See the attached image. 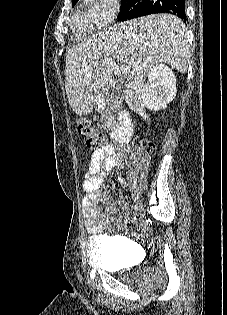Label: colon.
I'll list each match as a JSON object with an SVG mask.
<instances>
[{
    "instance_id": "5ec220e1",
    "label": "colon",
    "mask_w": 227,
    "mask_h": 315,
    "mask_svg": "<svg viewBox=\"0 0 227 315\" xmlns=\"http://www.w3.org/2000/svg\"><path fill=\"white\" fill-rule=\"evenodd\" d=\"M76 125L78 134L86 138L88 147L95 148L103 145L105 141L104 134L96 127L92 120L80 117L77 119ZM142 143L147 149L152 148L150 142L143 141Z\"/></svg>"
}]
</instances>
